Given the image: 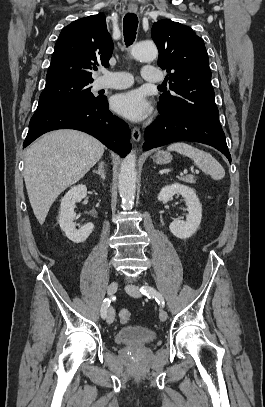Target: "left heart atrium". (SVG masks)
I'll return each mask as SVG.
<instances>
[{
    "mask_svg": "<svg viewBox=\"0 0 265 407\" xmlns=\"http://www.w3.org/2000/svg\"><path fill=\"white\" fill-rule=\"evenodd\" d=\"M111 106L115 112L131 121H142L150 113L151 107L138 90L121 93L112 98Z\"/></svg>",
    "mask_w": 265,
    "mask_h": 407,
    "instance_id": "1",
    "label": "left heart atrium"
}]
</instances>
